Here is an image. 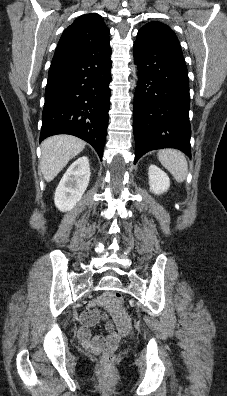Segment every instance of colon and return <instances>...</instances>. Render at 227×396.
Here are the masks:
<instances>
[{
  "label": "colon",
  "instance_id": "1",
  "mask_svg": "<svg viewBox=\"0 0 227 396\" xmlns=\"http://www.w3.org/2000/svg\"><path fill=\"white\" fill-rule=\"evenodd\" d=\"M114 301L117 305L121 306L124 302V297L121 293L117 292L114 295ZM114 359V351L111 346L105 347L104 354H103V363L105 365H110Z\"/></svg>",
  "mask_w": 227,
  "mask_h": 396
}]
</instances>
